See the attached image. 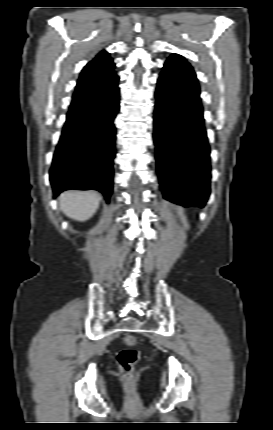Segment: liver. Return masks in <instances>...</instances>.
<instances>
[{"instance_id": "6515ba94", "label": "liver", "mask_w": 273, "mask_h": 430, "mask_svg": "<svg viewBox=\"0 0 273 430\" xmlns=\"http://www.w3.org/2000/svg\"><path fill=\"white\" fill-rule=\"evenodd\" d=\"M60 208L74 220L85 221L92 217L99 205V195L90 191H66L60 197Z\"/></svg>"}]
</instances>
